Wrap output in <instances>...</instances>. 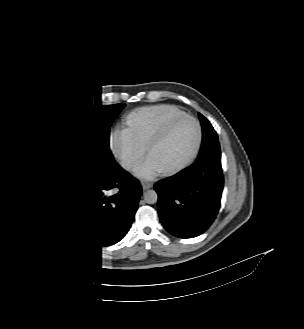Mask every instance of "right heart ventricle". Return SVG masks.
<instances>
[{"label":"right heart ventricle","mask_w":304,"mask_h":329,"mask_svg":"<svg viewBox=\"0 0 304 329\" xmlns=\"http://www.w3.org/2000/svg\"><path fill=\"white\" fill-rule=\"evenodd\" d=\"M186 114L175 105H156L142 110L139 119L131 117L127 130L134 135L145 149L150 139L156 135L171 118Z\"/></svg>","instance_id":"obj_1"}]
</instances>
